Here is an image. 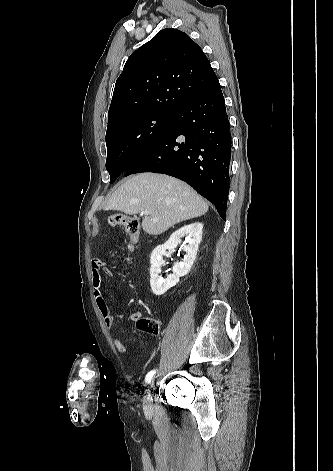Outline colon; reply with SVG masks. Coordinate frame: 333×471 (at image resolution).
<instances>
[{"label":"colon","mask_w":333,"mask_h":471,"mask_svg":"<svg viewBox=\"0 0 333 471\" xmlns=\"http://www.w3.org/2000/svg\"><path fill=\"white\" fill-rule=\"evenodd\" d=\"M108 224L111 227L121 226L124 228L125 233L129 236L126 247L128 250H133L139 237L138 221L134 218L117 214L109 217ZM137 326L140 330L151 335H158L160 330L159 322L150 317L139 318Z\"/></svg>","instance_id":"1"}]
</instances>
